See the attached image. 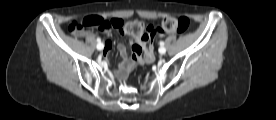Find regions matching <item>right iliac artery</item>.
Returning a JSON list of instances; mask_svg holds the SVG:
<instances>
[{"label":"right iliac artery","mask_w":276,"mask_h":120,"mask_svg":"<svg viewBox=\"0 0 276 120\" xmlns=\"http://www.w3.org/2000/svg\"><path fill=\"white\" fill-rule=\"evenodd\" d=\"M97 42H98V44H100L101 43V39L97 38Z\"/></svg>","instance_id":"1"}]
</instances>
